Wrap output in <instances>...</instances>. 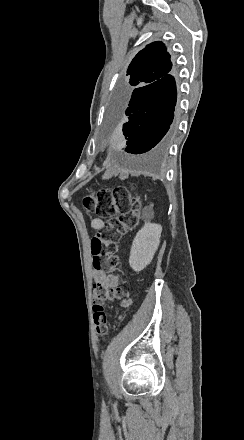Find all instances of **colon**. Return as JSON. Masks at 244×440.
<instances>
[{
    "instance_id": "obj_1",
    "label": "colon",
    "mask_w": 244,
    "mask_h": 440,
    "mask_svg": "<svg viewBox=\"0 0 244 440\" xmlns=\"http://www.w3.org/2000/svg\"><path fill=\"white\" fill-rule=\"evenodd\" d=\"M140 200L130 205L118 189H101L89 192L83 200L86 212H94L104 223H100L96 236L90 242V253L97 269L105 272H117L120 259L117 254L118 243L122 235L132 230L139 222ZM120 288L97 285L93 289L92 319L96 333L103 338L107 334V314L105 303L121 298Z\"/></svg>"
}]
</instances>
